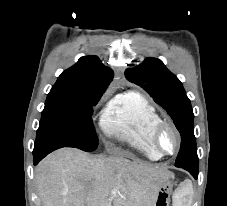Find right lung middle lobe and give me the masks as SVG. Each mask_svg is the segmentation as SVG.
Returning <instances> with one entry per match:
<instances>
[{"label":"right lung middle lobe","instance_id":"1","mask_svg":"<svg viewBox=\"0 0 227 206\" xmlns=\"http://www.w3.org/2000/svg\"><path fill=\"white\" fill-rule=\"evenodd\" d=\"M101 96L50 91L37 130L34 151L74 147L94 151L98 138L91 120L92 106Z\"/></svg>","mask_w":227,"mask_h":206}]
</instances>
